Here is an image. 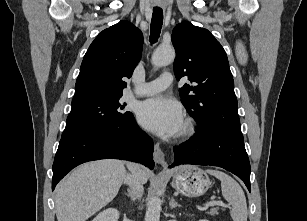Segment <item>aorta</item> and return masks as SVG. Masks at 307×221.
<instances>
[{"mask_svg": "<svg viewBox=\"0 0 307 221\" xmlns=\"http://www.w3.org/2000/svg\"><path fill=\"white\" fill-rule=\"evenodd\" d=\"M175 59V51L172 47H158L152 55V64L155 67H163ZM161 211V200L158 196H151L145 215V221H159Z\"/></svg>", "mask_w": 307, "mask_h": 221, "instance_id": "762f6f07", "label": "aorta"}]
</instances>
